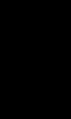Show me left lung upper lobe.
Returning <instances> with one entry per match:
<instances>
[{"label": "left lung upper lobe", "mask_w": 71, "mask_h": 119, "mask_svg": "<svg viewBox=\"0 0 71 119\" xmlns=\"http://www.w3.org/2000/svg\"><path fill=\"white\" fill-rule=\"evenodd\" d=\"M47 12L57 19L66 29L70 27L71 0H42Z\"/></svg>", "instance_id": "obj_1"}]
</instances>
